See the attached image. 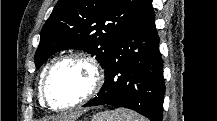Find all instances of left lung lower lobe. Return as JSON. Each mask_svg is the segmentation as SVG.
<instances>
[{
	"label": "left lung lower lobe",
	"mask_w": 217,
	"mask_h": 121,
	"mask_svg": "<svg viewBox=\"0 0 217 121\" xmlns=\"http://www.w3.org/2000/svg\"><path fill=\"white\" fill-rule=\"evenodd\" d=\"M105 82L86 106L115 105L162 121L165 85L152 0H141L105 65Z\"/></svg>",
	"instance_id": "left-lung-lower-lobe-1"
}]
</instances>
